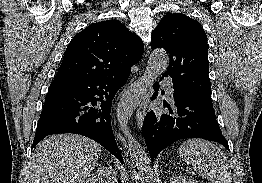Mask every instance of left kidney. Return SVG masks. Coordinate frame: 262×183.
<instances>
[{"label":"left kidney","instance_id":"5707ae66","mask_svg":"<svg viewBox=\"0 0 262 183\" xmlns=\"http://www.w3.org/2000/svg\"><path fill=\"white\" fill-rule=\"evenodd\" d=\"M168 183H199L198 181L188 178L181 174H175L174 176L167 179Z\"/></svg>","mask_w":262,"mask_h":183}]
</instances>
